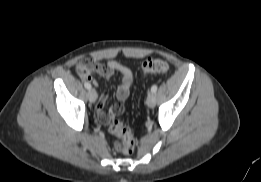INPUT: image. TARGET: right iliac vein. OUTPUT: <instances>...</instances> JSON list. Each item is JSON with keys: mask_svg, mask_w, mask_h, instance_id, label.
Here are the masks:
<instances>
[{"mask_svg": "<svg viewBox=\"0 0 261 182\" xmlns=\"http://www.w3.org/2000/svg\"><path fill=\"white\" fill-rule=\"evenodd\" d=\"M88 99L90 102H95L97 99V93L94 89L88 91Z\"/></svg>", "mask_w": 261, "mask_h": 182, "instance_id": "1", "label": "right iliac vein"}]
</instances>
